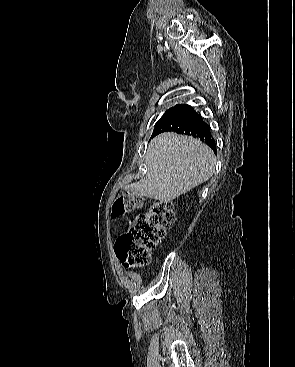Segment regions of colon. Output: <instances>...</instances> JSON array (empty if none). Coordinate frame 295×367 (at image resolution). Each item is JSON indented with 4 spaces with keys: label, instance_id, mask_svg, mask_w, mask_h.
<instances>
[{
    "label": "colon",
    "instance_id": "colon-1",
    "mask_svg": "<svg viewBox=\"0 0 295 367\" xmlns=\"http://www.w3.org/2000/svg\"><path fill=\"white\" fill-rule=\"evenodd\" d=\"M143 200L130 193L120 194L115 200L112 213L120 216L142 206ZM173 206L169 202L157 201L129 221L127 232L115 243L117 257L125 267H141L151 260L152 252L164 239L174 222Z\"/></svg>",
    "mask_w": 295,
    "mask_h": 367
}]
</instances>
